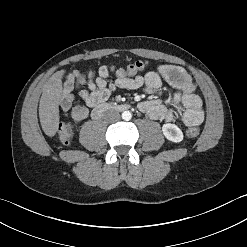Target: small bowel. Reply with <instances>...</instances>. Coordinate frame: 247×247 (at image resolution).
<instances>
[{"label":"small bowel","mask_w":247,"mask_h":247,"mask_svg":"<svg viewBox=\"0 0 247 247\" xmlns=\"http://www.w3.org/2000/svg\"><path fill=\"white\" fill-rule=\"evenodd\" d=\"M111 71L110 66H101L96 77H88L85 82L86 88H81V83L76 80L74 74H67L60 100L63 113L75 121H81L87 117L88 108L105 103L118 89L143 90L149 94L160 95L164 81L177 89V92L165 98L156 97L143 101L139 104V109L154 120L172 122L179 119L186 126H196L203 122L202 100L196 93L191 77L183 68L165 64L135 77L116 75L115 79L109 82ZM74 90H78L86 106L73 104Z\"/></svg>","instance_id":"small-bowel-1"}]
</instances>
